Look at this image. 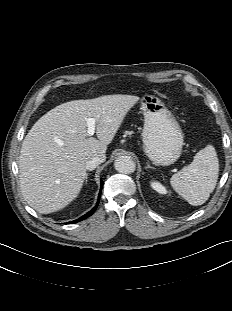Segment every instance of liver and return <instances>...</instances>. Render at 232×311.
Here are the masks:
<instances>
[{"label": "liver", "instance_id": "1", "mask_svg": "<svg viewBox=\"0 0 232 311\" xmlns=\"http://www.w3.org/2000/svg\"><path fill=\"white\" fill-rule=\"evenodd\" d=\"M138 101L132 95H106L66 102L44 114L20 151V187L26 202L41 214L71 203L86 179V161L94 156L105 161L107 145ZM87 118H97L98 139L88 136Z\"/></svg>", "mask_w": 232, "mask_h": 311}]
</instances>
